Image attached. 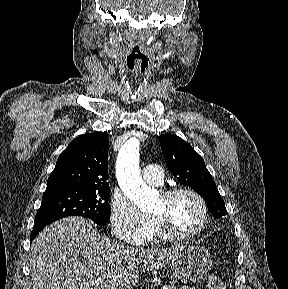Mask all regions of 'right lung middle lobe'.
<instances>
[{
  "mask_svg": "<svg viewBox=\"0 0 288 289\" xmlns=\"http://www.w3.org/2000/svg\"><path fill=\"white\" fill-rule=\"evenodd\" d=\"M110 188L46 190L34 226L46 225L66 216H84L98 225L110 221Z\"/></svg>",
  "mask_w": 288,
  "mask_h": 289,
  "instance_id": "right-lung-middle-lobe-1",
  "label": "right lung middle lobe"
}]
</instances>
